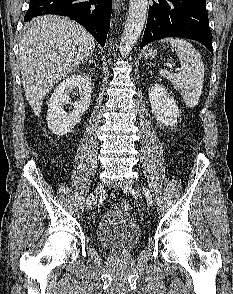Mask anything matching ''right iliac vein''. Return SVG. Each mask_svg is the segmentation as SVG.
Returning <instances> with one entry per match:
<instances>
[{
	"instance_id": "obj_1",
	"label": "right iliac vein",
	"mask_w": 233,
	"mask_h": 294,
	"mask_svg": "<svg viewBox=\"0 0 233 294\" xmlns=\"http://www.w3.org/2000/svg\"><path fill=\"white\" fill-rule=\"evenodd\" d=\"M103 190V185L100 183L98 184L97 188H96V195L95 198L93 200V204L95 205L99 199V194L102 192Z\"/></svg>"
}]
</instances>
